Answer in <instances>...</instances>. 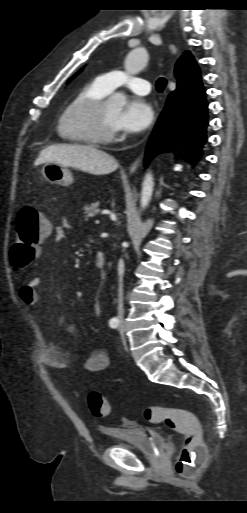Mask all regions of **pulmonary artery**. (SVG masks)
<instances>
[{
    "label": "pulmonary artery",
    "mask_w": 247,
    "mask_h": 513,
    "mask_svg": "<svg viewBox=\"0 0 247 513\" xmlns=\"http://www.w3.org/2000/svg\"><path fill=\"white\" fill-rule=\"evenodd\" d=\"M96 80L110 92L119 86H126L139 95H146L151 90V85L148 81L138 77H129L121 70L102 74Z\"/></svg>",
    "instance_id": "obj_1"
}]
</instances>
